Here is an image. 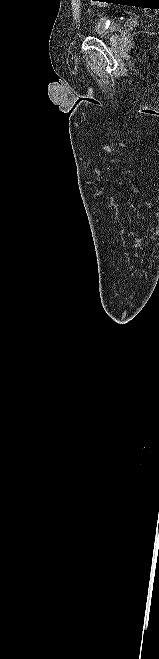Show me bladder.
<instances>
[{
	"label": "bladder",
	"mask_w": 159,
	"mask_h": 659,
	"mask_svg": "<svg viewBox=\"0 0 159 659\" xmlns=\"http://www.w3.org/2000/svg\"><path fill=\"white\" fill-rule=\"evenodd\" d=\"M116 27H108L102 19L97 20L92 28L93 35L99 38L110 37L116 31Z\"/></svg>",
	"instance_id": "31cf9c89"
}]
</instances>
